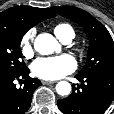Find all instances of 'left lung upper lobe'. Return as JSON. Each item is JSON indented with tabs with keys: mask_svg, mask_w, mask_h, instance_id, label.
Listing matches in <instances>:
<instances>
[{
	"mask_svg": "<svg viewBox=\"0 0 114 114\" xmlns=\"http://www.w3.org/2000/svg\"><path fill=\"white\" fill-rule=\"evenodd\" d=\"M81 25L89 39L87 62L79 75L114 74V42L108 30L88 12L72 6L52 7Z\"/></svg>",
	"mask_w": 114,
	"mask_h": 114,
	"instance_id": "1",
	"label": "left lung upper lobe"
}]
</instances>
